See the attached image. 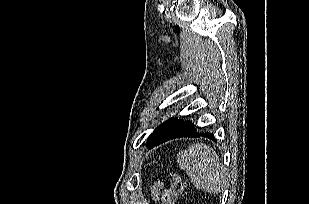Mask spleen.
Returning <instances> with one entry per match:
<instances>
[{
  "label": "spleen",
  "mask_w": 309,
  "mask_h": 204,
  "mask_svg": "<svg viewBox=\"0 0 309 204\" xmlns=\"http://www.w3.org/2000/svg\"><path fill=\"white\" fill-rule=\"evenodd\" d=\"M181 169L186 171L197 189L219 193L226 182V172L218 154L203 143L190 145L177 156Z\"/></svg>",
  "instance_id": "obj_1"
}]
</instances>
